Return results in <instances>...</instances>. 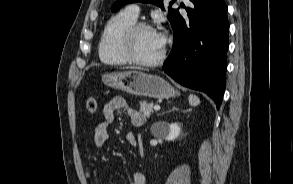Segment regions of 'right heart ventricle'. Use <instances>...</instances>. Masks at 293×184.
<instances>
[{
  "mask_svg": "<svg viewBox=\"0 0 293 184\" xmlns=\"http://www.w3.org/2000/svg\"><path fill=\"white\" fill-rule=\"evenodd\" d=\"M136 18L128 15L125 11L113 16L106 24L101 35L98 54L100 60L110 66H120L129 63L121 48L123 34Z\"/></svg>",
  "mask_w": 293,
  "mask_h": 184,
  "instance_id": "e07e8e85",
  "label": "right heart ventricle"
}]
</instances>
